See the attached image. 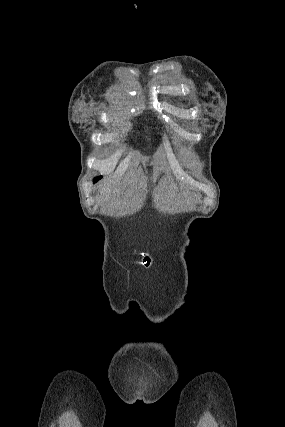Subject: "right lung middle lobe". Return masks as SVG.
<instances>
[{
	"mask_svg": "<svg viewBox=\"0 0 285 427\" xmlns=\"http://www.w3.org/2000/svg\"><path fill=\"white\" fill-rule=\"evenodd\" d=\"M101 178H102V176H99L98 178H95L94 180L98 181Z\"/></svg>",
	"mask_w": 285,
	"mask_h": 427,
	"instance_id": "1",
	"label": "right lung middle lobe"
}]
</instances>
